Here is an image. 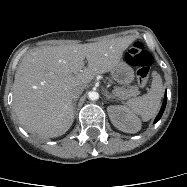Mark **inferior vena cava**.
Wrapping results in <instances>:
<instances>
[{
    "instance_id": "inferior-vena-cava-1",
    "label": "inferior vena cava",
    "mask_w": 187,
    "mask_h": 187,
    "mask_svg": "<svg viewBox=\"0 0 187 187\" xmlns=\"http://www.w3.org/2000/svg\"><path fill=\"white\" fill-rule=\"evenodd\" d=\"M84 88L82 86H78L75 87L72 91H71V98L76 99L78 98L82 93H83Z\"/></svg>"
}]
</instances>
